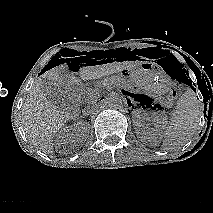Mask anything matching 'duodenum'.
Here are the masks:
<instances>
[{
	"instance_id": "410a0bca",
	"label": "duodenum",
	"mask_w": 213,
	"mask_h": 213,
	"mask_svg": "<svg viewBox=\"0 0 213 213\" xmlns=\"http://www.w3.org/2000/svg\"><path fill=\"white\" fill-rule=\"evenodd\" d=\"M77 94V91H76V87L75 86H72L70 88V95H76ZM101 100H96L92 103H87L83 106L84 109H91L93 107H95L96 105H98L100 103Z\"/></svg>"
}]
</instances>
